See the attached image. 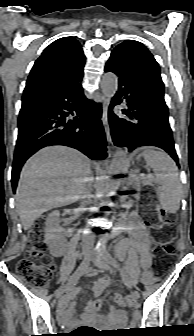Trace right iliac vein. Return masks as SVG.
<instances>
[{
	"label": "right iliac vein",
	"mask_w": 194,
	"mask_h": 336,
	"mask_svg": "<svg viewBox=\"0 0 194 336\" xmlns=\"http://www.w3.org/2000/svg\"><path fill=\"white\" fill-rule=\"evenodd\" d=\"M84 263H85V262H84ZM85 266H86V263H85ZM85 266H84V268H85ZM84 268L82 269L81 273H83ZM71 287H72V283H70V282L68 281V283H67L66 285H63L62 287L59 288V290H58V292H57V296H58V298H59V301L62 300V295H63V293H64L65 291L71 289ZM60 303H61V302H60Z\"/></svg>",
	"instance_id": "obj_1"
}]
</instances>
